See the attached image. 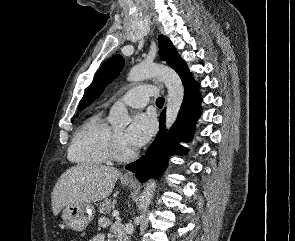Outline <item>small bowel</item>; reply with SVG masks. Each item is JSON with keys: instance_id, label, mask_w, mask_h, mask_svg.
I'll return each mask as SVG.
<instances>
[{"instance_id": "c3829d8e", "label": "small bowel", "mask_w": 295, "mask_h": 241, "mask_svg": "<svg viewBox=\"0 0 295 241\" xmlns=\"http://www.w3.org/2000/svg\"><path fill=\"white\" fill-rule=\"evenodd\" d=\"M101 224L102 225H107V220L105 218L101 219ZM113 232L116 234H123V228L121 225L119 224H114L113 227ZM89 241H105V237L103 234H97L95 236H93Z\"/></svg>"}]
</instances>
